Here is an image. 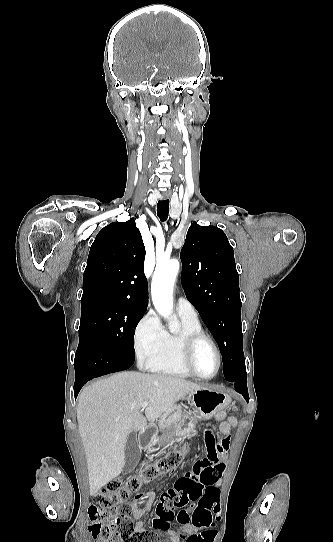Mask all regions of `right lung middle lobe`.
I'll list each match as a JSON object with an SVG mask.
<instances>
[{
  "label": "right lung middle lobe",
  "mask_w": 333,
  "mask_h": 542,
  "mask_svg": "<svg viewBox=\"0 0 333 542\" xmlns=\"http://www.w3.org/2000/svg\"><path fill=\"white\" fill-rule=\"evenodd\" d=\"M146 310L120 304L91 303L81 306L79 340L94 337L117 355L134 360V333Z\"/></svg>",
  "instance_id": "1"
}]
</instances>
